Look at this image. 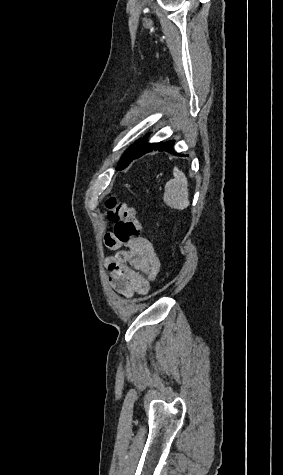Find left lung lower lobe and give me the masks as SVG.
I'll list each match as a JSON object with an SVG mask.
<instances>
[{"mask_svg": "<svg viewBox=\"0 0 283 475\" xmlns=\"http://www.w3.org/2000/svg\"><path fill=\"white\" fill-rule=\"evenodd\" d=\"M148 136L144 137V139H147ZM143 141L142 139H139L136 143H134L132 146L129 147L127 151H125L121 161L119 162L117 166V170H122L126 168L130 162H132L134 159H138L142 157L144 154L152 152V151H166L169 153H175L174 152V141H166V142H160V143H144L142 144Z\"/></svg>", "mask_w": 283, "mask_h": 475, "instance_id": "0a47b994", "label": "left lung lower lobe"}]
</instances>
